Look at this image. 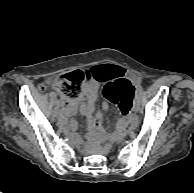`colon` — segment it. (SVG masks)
I'll return each instance as SVG.
<instances>
[{
    "instance_id": "5ec220e1",
    "label": "colon",
    "mask_w": 194,
    "mask_h": 193,
    "mask_svg": "<svg viewBox=\"0 0 194 193\" xmlns=\"http://www.w3.org/2000/svg\"><path fill=\"white\" fill-rule=\"evenodd\" d=\"M84 79H85L84 73L81 70H75L63 74L61 76L52 78L48 80L47 83H41L39 84L38 88L39 90L44 91L46 90L48 84H53L60 90L61 95L63 96L66 102H72L80 97ZM117 87L130 91H132L134 88L133 84L128 79L120 77L115 82L109 83L104 88L103 91L104 95L107 98L112 99L114 97L113 94L116 91ZM130 126L131 125L128 123L122 124L118 127L117 142H120L123 139L127 129Z\"/></svg>"
}]
</instances>
